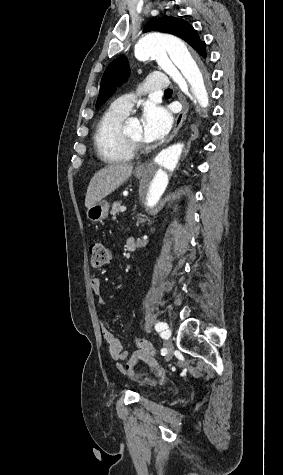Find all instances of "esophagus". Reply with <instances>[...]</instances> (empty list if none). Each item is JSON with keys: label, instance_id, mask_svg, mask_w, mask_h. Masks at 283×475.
Masks as SVG:
<instances>
[{"label": "esophagus", "instance_id": "esophagus-1", "mask_svg": "<svg viewBox=\"0 0 283 475\" xmlns=\"http://www.w3.org/2000/svg\"><path fill=\"white\" fill-rule=\"evenodd\" d=\"M178 99L180 100L181 102V105H182V109L181 111L178 113L177 117H176V120H175V124H174V128H173V131L170 135V137L166 140L165 144H167L168 142H170L174 137L175 135L178 133L183 121L185 120L186 118V114L188 112V103H187V100L186 98L184 97V95L182 93H178ZM147 165H148V162H145V163H142L141 165H138V167H136V171L139 172V171H144L146 168H147Z\"/></svg>", "mask_w": 283, "mask_h": 475}]
</instances>
